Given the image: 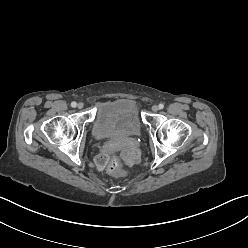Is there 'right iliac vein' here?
Listing matches in <instances>:
<instances>
[{
  "mask_svg": "<svg viewBox=\"0 0 248 248\" xmlns=\"http://www.w3.org/2000/svg\"><path fill=\"white\" fill-rule=\"evenodd\" d=\"M77 107H78L79 109H82V108L84 107V104H83L82 102H80V103H78Z\"/></svg>",
  "mask_w": 248,
  "mask_h": 248,
  "instance_id": "right-iliac-vein-1",
  "label": "right iliac vein"
}]
</instances>
